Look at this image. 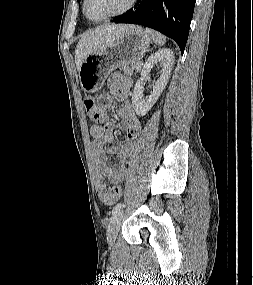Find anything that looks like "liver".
Listing matches in <instances>:
<instances>
[{"mask_svg": "<svg viewBox=\"0 0 253 285\" xmlns=\"http://www.w3.org/2000/svg\"><path fill=\"white\" fill-rule=\"evenodd\" d=\"M133 25H105L84 33L75 49V64L79 71L83 60L103 48Z\"/></svg>", "mask_w": 253, "mask_h": 285, "instance_id": "6515ba94", "label": "liver"}]
</instances>
